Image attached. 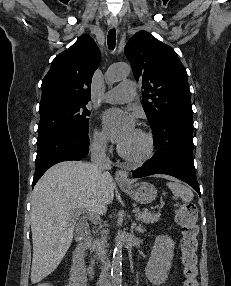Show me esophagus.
I'll list each match as a JSON object with an SVG mask.
<instances>
[{
    "label": "esophagus",
    "mask_w": 231,
    "mask_h": 286,
    "mask_svg": "<svg viewBox=\"0 0 231 286\" xmlns=\"http://www.w3.org/2000/svg\"><path fill=\"white\" fill-rule=\"evenodd\" d=\"M108 24L110 27H116L118 24V20L116 16H111L110 19L108 20ZM115 180L120 186H126L130 184L129 181V174L125 170H117L115 173Z\"/></svg>",
    "instance_id": "esophagus-1"
}]
</instances>
